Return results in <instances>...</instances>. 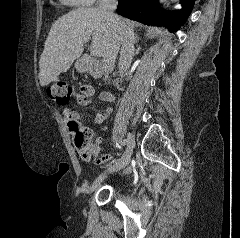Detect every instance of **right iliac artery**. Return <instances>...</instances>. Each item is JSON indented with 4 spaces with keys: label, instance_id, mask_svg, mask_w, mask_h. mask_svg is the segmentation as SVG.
I'll return each mask as SVG.
<instances>
[{
    "label": "right iliac artery",
    "instance_id": "1",
    "mask_svg": "<svg viewBox=\"0 0 240 238\" xmlns=\"http://www.w3.org/2000/svg\"><path fill=\"white\" fill-rule=\"evenodd\" d=\"M127 145H128V144H127V140H124V141L121 142V146H122V147H125V146H127Z\"/></svg>",
    "mask_w": 240,
    "mask_h": 238
}]
</instances>
